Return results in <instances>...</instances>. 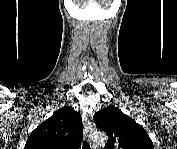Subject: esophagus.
<instances>
[{
	"label": "esophagus",
	"mask_w": 177,
	"mask_h": 149,
	"mask_svg": "<svg viewBox=\"0 0 177 149\" xmlns=\"http://www.w3.org/2000/svg\"><path fill=\"white\" fill-rule=\"evenodd\" d=\"M83 126H84V130H83L84 137L88 142H91L94 124L92 123L90 119L86 118L85 120H83Z\"/></svg>",
	"instance_id": "obj_1"
}]
</instances>
